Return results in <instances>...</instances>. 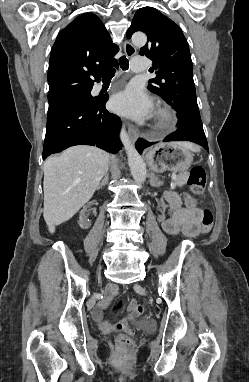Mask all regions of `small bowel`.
<instances>
[{"mask_svg": "<svg viewBox=\"0 0 249 382\" xmlns=\"http://www.w3.org/2000/svg\"><path fill=\"white\" fill-rule=\"evenodd\" d=\"M166 200L170 206L171 216L162 219V226L165 232L170 235L182 233L187 237H195L199 235L203 211L199 208L183 207L179 197L170 193L166 195ZM116 293V286L110 284L106 290L108 297ZM134 303H132V306Z\"/></svg>", "mask_w": 249, "mask_h": 382, "instance_id": "obj_1", "label": "small bowel"}]
</instances>
